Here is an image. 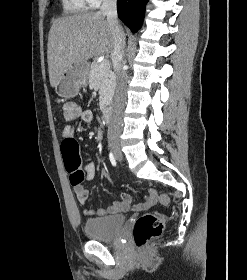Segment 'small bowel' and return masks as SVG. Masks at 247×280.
I'll return each mask as SVG.
<instances>
[{"instance_id":"c3829d8e","label":"small bowel","mask_w":247,"mask_h":280,"mask_svg":"<svg viewBox=\"0 0 247 280\" xmlns=\"http://www.w3.org/2000/svg\"><path fill=\"white\" fill-rule=\"evenodd\" d=\"M79 120L84 123H89L94 119V113L90 110H85L80 112L78 116ZM77 130V125L74 123H69L64 126L62 130V138L63 140H75V133ZM84 173L85 178L84 181H91L94 178L95 175V168L94 165L91 163H87L84 166ZM77 200L81 205H86L88 201V190L86 191H74ZM157 201V193L155 190L148 191L147 195L145 196V199L138 205L135 206L136 210H141L148 208L152 205H154ZM131 205V199L127 194H122L120 199L115 201L111 206H109L107 209L99 208V209H91V208H85L84 209V215L87 217H93V216H105L108 214H117L120 212H125L130 209Z\"/></svg>"}]
</instances>
